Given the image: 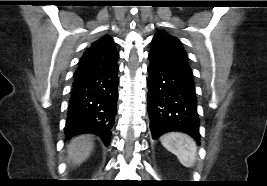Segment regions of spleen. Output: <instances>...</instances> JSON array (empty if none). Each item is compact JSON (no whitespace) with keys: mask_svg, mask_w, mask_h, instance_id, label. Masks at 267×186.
I'll return each instance as SVG.
<instances>
[{"mask_svg":"<svg viewBox=\"0 0 267 186\" xmlns=\"http://www.w3.org/2000/svg\"><path fill=\"white\" fill-rule=\"evenodd\" d=\"M161 143L178 158L183 166L187 168L194 166L197 146L190 136L178 132L168 133L161 137Z\"/></svg>","mask_w":267,"mask_h":186,"instance_id":"spleen-1","label":"spleen"}]
</instances>
